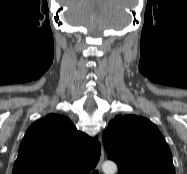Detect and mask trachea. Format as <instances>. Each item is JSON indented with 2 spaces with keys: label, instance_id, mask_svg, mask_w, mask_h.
<instances>
[{
  "label": "trachea",
  "instance_id": "3493384b",
  "mask_svg": "<svg viewBox=\"0 0 187 174\" xmlns=\"http://www.w3.org/2000/svg\"><path fill=\"white\" fill-rule=\"evenodd\" d=\"M92 174H99V173H98V171L96 170V171H94Z\"/></svg>",
  "mask_w": 187,
  "mask_h": 174
}]
</instances>
